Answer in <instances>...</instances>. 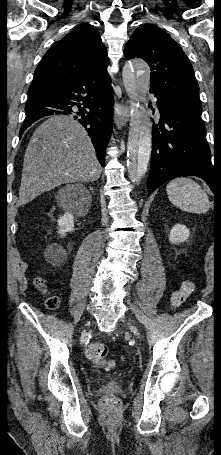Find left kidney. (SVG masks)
<instances>
[{
  "mask_svg": "<svg viewBox=\"0 0 221 455\" xmlns=\"http://www.w3.org/2000/svg\"><path fill=\"white\" fill-rule=\"evenodd\" d=\"M190 231L183 224H176L172 227L169 234V241L173 244H178L186 241L189 238Z\"/></svg>",
  "mask_w": 221,
  "mask_h": 455,
  "instance_id": "5707ae66",
  "label": "left kidney"
}]
</instances>
